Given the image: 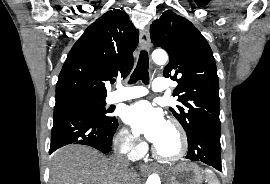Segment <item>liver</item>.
<instances>
[{
    "label": "liver",
    "mask_w": 270,
    "mask_h": 184,
    "mask_svg": "<svg viewBox=\"0 0 270 184\" xmlns=\"http://www.w3.org/2000/svg\"><path fill=\"white\" fill-rule=\"evenodd\" d=\"M134 176L95 149L68 145L52 158L50 184H130Z\"/></svg>",
    "instance_id": "1"
}]
</instances>
